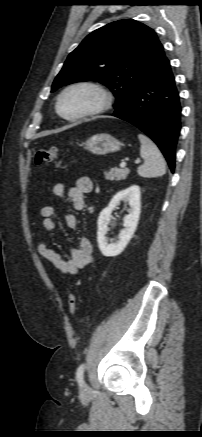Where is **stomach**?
Segmentation results:
<instances>
[{
	"label": "stomach",
	"instance_id": "1",
	"mask_svg": "<svg viewBox=\"0 0 202 437\" xmlns=\"http://www.w3.org/2000/svg\"><path fill=\"white\" fill-rule=\"evenodd\" d=\"M83 145L86 150L96 155L117 152L124 146L122 142L106 133L93 135Z\"/></svg>",
	"mask_w": 202,
	"mask_h": 437
}]
</instances>
